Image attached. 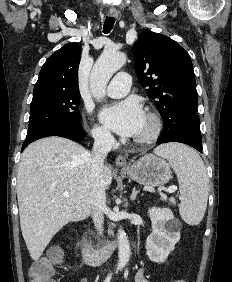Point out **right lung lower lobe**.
<instances>
[{
	"mask_svg": "<svg viewBox=\"0 0 232 282\" xmlns=\"http://www.w3.org/2000/svg\"><path fill=\"white\" fill-rule=\"evenodd\" d=\"M48 136H61L69 138L73 141H80L85 137V132L81 128L69 125V124H54L38 130L35 133L27 135L25 142L23 143L22 150L35 140Z\"/></svg>",
	"mask_w": 232,
	"mask_h": 282,
	"instance_id": "obj_1",
	"label": "right lung lower lobe"
}]
</instances>
